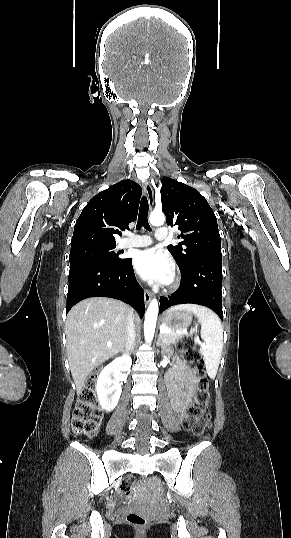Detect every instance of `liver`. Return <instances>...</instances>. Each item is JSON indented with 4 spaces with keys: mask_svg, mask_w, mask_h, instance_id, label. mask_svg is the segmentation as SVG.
<instances>
[{
    "mask_svg": "<svg viewBox=\"0 0 291 538\" xmlns=\"http://www.w3.org/2000/svg\"><path fill=\"white\" fill-rule=\"evenodd\" d=\"M131 309L110 298H88L67 315L65 332L71 374L77 394L88 375L122 351Z\"/></svg>",
    "mask_w": 291,
    "mask_h": 538,
    "instance_id": "liver-1",
    "label": "liver"
}]
</instances>
